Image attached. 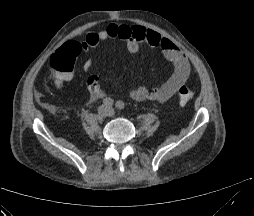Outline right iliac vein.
I'll return each mask as SVG.
<instances>
[{"instance_id": "1", "label": "right iliac vein", "mask_w": 254, "mask_h": 216, "mask_svg": "<svg viewBox=\"0 0 254 216\" xmlns=\"http://www.w3.org/2000/svg\"><path fill=\"white\" fill-rule=\"evenodd\" d=\"M108 112H109V108H108V106H106V105H102V106H100L99 107V109H98V115L100 116V117H106L107 116V114H108Z\"/></svg>"}]
</instances>
